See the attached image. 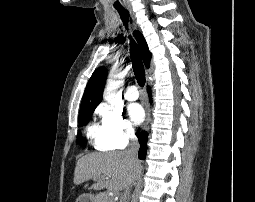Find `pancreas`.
<instances>
[{
  "mask_svg": "<svg viewBox=\"0 0 255 202\" xmlns=\"http://www.w3.org/2000/svg\"><path fill=\"white\" fill-rule=\"evenodd\" d=\"M95 202H113V198L107 193H99L95 197Z\"/></svg>",
  "mask_w": 255,
  "mask_h": 202,
  "instance_id": "cf45deb5",
  "label": "pancreas"
}]
</instances>
